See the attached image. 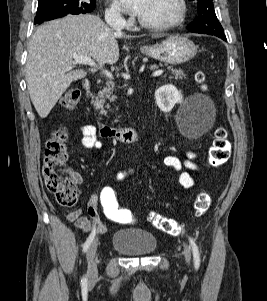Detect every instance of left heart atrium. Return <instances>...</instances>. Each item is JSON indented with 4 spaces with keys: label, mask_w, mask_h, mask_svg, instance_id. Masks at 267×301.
Instances as JSON below:
<instances>
[{
    "label": "left heart atrium",
    "mask_w": 267,
    "mask_h": 301,
    "mask_svg": "<svg viewBox=\"0 0 267 301\" xmlns=\"http://www.w3.org/2000/svg\"><path fill=\"white\" fill-rule=\"evenodd\" d=\"M146 0H120L122 7L133 15L140 16Z\"/></svg>",
    "instance_id": "left-heart-atrium-1"
}]
</instances>
